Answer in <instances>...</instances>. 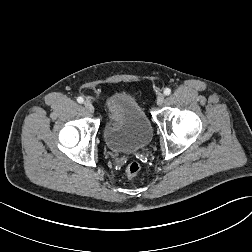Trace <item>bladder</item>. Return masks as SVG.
I'll use <instances>...</instances> for the list:
<instances>
[{
  "label": "bladder",
  "mask_w": 252,
  "mask_h": 252,
  "mask_svg": "<svg viewBox=\"0 0 252 252\" xmlns=\"http://www.w3.org/2000/svg\"><path fill=\"white\" fill-rule=\"evenodd\" d=\"M152 135L148 117L133 98L116 95L108 101L103 137L109 150L137 152L151 142Z\"/></svg>",
  "instance_id": "obj_1"
}]
</instances>
